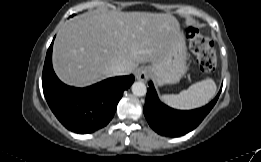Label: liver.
Here are the masks:
<instances>
[{"label": "liver", "instance_id": "liver-1", "mask_svg": "<svg viewBox=\"0 0 261 162\" xmlns=\"http://www.w3.org/2000/svg\"><path fill=\"white\" fill-rule=\"evenodd\" d=\"M180 33L168 13L92 11L68 20L53 46V67L66 84L88 86L114 76L113 68L134 71L156 62Z\"/></svg>", "mask_w": 261, "mask_h": 162}]
</instances>
